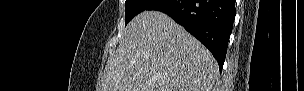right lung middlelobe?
<instances>
[{
  "mask_svg": "<svg viewBox=\"0 0 304 91\" xmlns=\"http://www.w3.org/2000/svg\"><path fill=\"white\" fill-rule=\"evenodd\" d=\"M153 0H126L125 2V25L137 14L144 11Z\"/></svg>",
  "mask_w": 304,
  "mask_h": 91,
  "instance_id": "dd1d6c3e",
  "label": "right lung middle lobe"
}]
</instances>
